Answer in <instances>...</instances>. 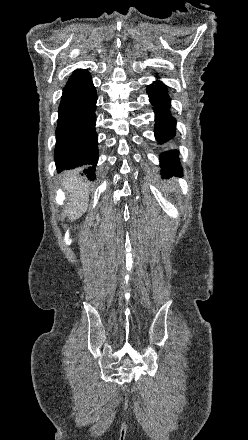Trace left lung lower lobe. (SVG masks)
<instances>
[{
	"mask_svg": "<svg viewBox=\"0 0 248 440\" xmlns=\"http://www.w3.org/2000/svg\"><path fill=\"white\" fill-rule=\"evenodd\" d=\"M147 93L150 97V102L154 106L156 115L155 137L162 144L172 139L175 133L176 120L169 111L170 98L166 86L159 81L148 85ZM160 163L163 168L161 176L164 179L170 178L173 175H182V167L180 166L177 150L162 153L160 155Z\"/></svg>",
	"mask_w": 248,
	"mask_h": 440,
	"instance_id": "0a47b994",
	"label": "left lung lower lobe"
}]
</instances>
